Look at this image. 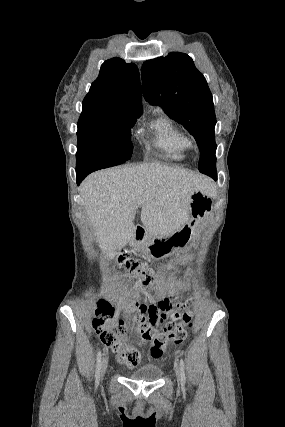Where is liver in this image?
I'll return each mask as SVG.
<instances>
[{"instance_id": "6515ba94", "label": "liver", "mask_w": 285, "mask_h": 427, "mask_svg": "<svg viewBox=\"0 0 285 427\" xmlns=\"http://www.w3.org/2000/svg\"><path fill=\"white\" fill-rule=\"evenodd\" d=\"M81 194L99 247L113 257L134 237L136 210L153 235H170L189 220L190 196L214 192L211 179L159 163L121 166L95 172L82 182Z\"/></svg>"}]
</instances>
